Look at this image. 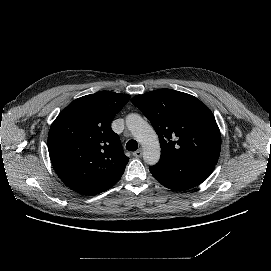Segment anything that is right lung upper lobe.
Here are the masks:
<instances>
[{"label": "right lung upper lobe", "instance_id": "1", "mask_svg": "<svg viewBox=\"0 0 271 271\" xmlns=\"http://www.w3.org/2000/svg\"><path fill=\"white\" fill-rule=\"evenodd\" d=\"M130 95L100 91L74 100L52 123L48 150L54 170L73 191L96 195L115 185L129 158L111 129Z\"/></svg>", "mask_w": 271, "mask_h": 271}]
</instances>
